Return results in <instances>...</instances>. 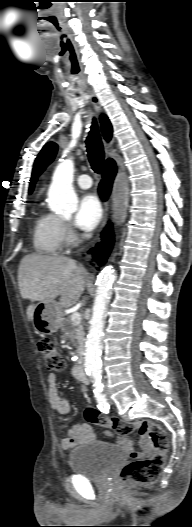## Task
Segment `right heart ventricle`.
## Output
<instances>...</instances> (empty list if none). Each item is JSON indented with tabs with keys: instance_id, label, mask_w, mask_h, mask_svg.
I'll return each mask as SVG.
<instances>
[{
	"instance_id": "right-heart-ventricle-1",
	"label": "right heart ventricle",
	"mask_w": 192,
	"mask_h": 527,
	"mask_svg": "<svg viewBox=\"0 0 192 527\" xmlns=\"http://www.w3.org/2000/svg\"><path fill=\"white\" fill-rule=\"evenodd\" d=\"M65 240L64 225L56 214L39 211L33 226V245L40 254H58Z\"/></svg>"
}]
</instances>
